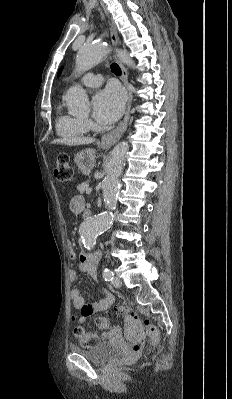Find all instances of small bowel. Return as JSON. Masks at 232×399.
Masks as SVG:
<instances>
[{
    "instance_id": "small-bowel-1",
    "label": "small bowel",
    "mask_w": 232,
    "mask_h": 399,
    "mask_svg": "<svg viewBox=\"0 0 232 399\" xmlns=\"http://www.w3.org/2000/svg\"><path fill=\"white\" fill-rule=\"evenodd\" d=\"M83 205L82 197L78 194L73 195L70 200V208L73 211L80 210ZM68 249H69V257L70 259H78L79 267L78 270L80 272H87L90 278L93 281L97 279V264L101 259V253L96 251L95 253H91L86 249H81L79 251L76 250L72 241H68ZM77 281V273L70 272L69 274V283L71 285L75 284ZM104 298L93 305H87L85 299L79 294L76 290H71L69 292V298L72 302L74 308L80 311L79 320L83 323L86 317L100 310H105L111 307L114 301L113 295L106 289L102 290ZM118 330L117 326H110L108 328L103 329L106 333L116 332Z\"/></svg>"
}]
</instances>
